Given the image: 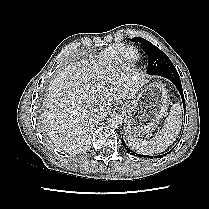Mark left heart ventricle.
<instances>
[{
  "instance_id": "1",
  "label": "left heart ventricle",
  "mask_w": 209,
  "mask_h": 209,
  "mask_svg": "<svg viewBox=\"0 0 209 209\" xmlns=\"http://www.w3.org/2000/svg\"><path fill=\"white\" fill-rule=\"evenodd\" d=\"M133 55H134L133 51H128V52L126 53V57H127V58H132Z\"/></svg>"
}]
</instances>
